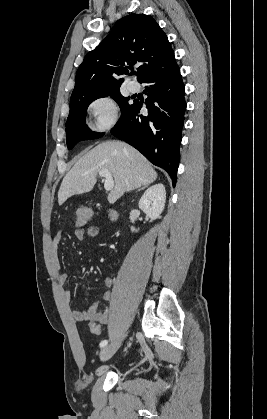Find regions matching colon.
Returning a JSON list of instances; mask_svg holds the SVG:
<instances>
[{"label": "colon", "instance_id": "obj_1", "mask_svg": "<svg viewBox=\"0 0 267 419\" xmlns=\"http://www.w3.org/2000/svg\"><path fill=\"white\" fill-rule=\"evenodd\" d=\"M92 215H93V210L89 207H84V208L79 209L74 218L75 225L82 226V225L87 224V222L92 217ZM90 329H91V332L94 334H101L102 332L101 326L97 323H90Z\"/></svg>", "mask_w": 267, "mask_h": 419}]
</instances>
